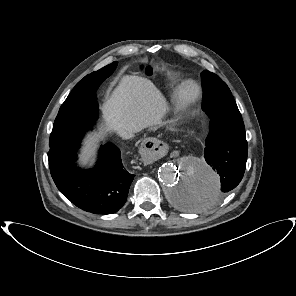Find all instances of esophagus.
<instances>
[{"label": "esophagus", "mask_w": 296, "mask_h": 296, "mask_svg": "<svg viewBox=\"0 0 296 296\" xmlns=\"http://www.w3.org/2000/svg\"><path fill=\"white\" fill-rule=\"evenodd\" d=\"M167 151V144L159 138H146L139 147V156L147 162L154 163L162 158Z\"/></svg>", "instance_id": "esophagus-1"}]
</instances>
